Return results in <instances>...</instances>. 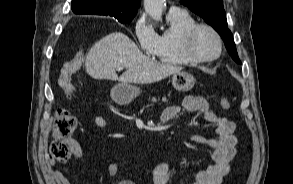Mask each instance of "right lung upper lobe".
Masks as SVG:
<instances>
[{
    "label": "right lung upper lobe",
    "mask_w": 293,
    "mask_h": 184,
    "mask_svg": "<svg viewBox=\"0 0 293 184\" xmlns=\"http://www.w3.org/2000/svg\"><path fill=\"white\" fill-rule=\"evenodd\" d=\"M141 0H72L75 14L113 16L116 19L134 18Z\"/></svg>",
    "instance_id": "cb5924a9"
}]
</instances>
